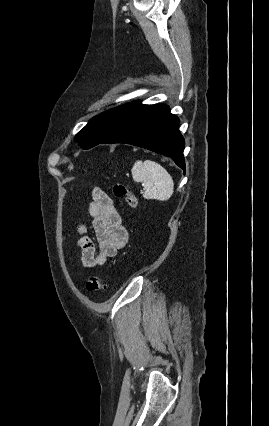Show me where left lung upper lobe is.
Instances as JSON below:
<instances>
[{"mask_svg":"<svg viewBox=\"0 0 269 426\" xmlns=\"http://www.w3.org/2000/svg\"><path fill=\"white\" fill-rule=\"evenodd\" d=\"M125 106L126 104L118 106L92 118L78 132L75 140L82 145L83 149H89L98 145L111 131Z\"/></svg>","mask_w":269,"mask_h":426,"instance_id":"left-lung-upper-lobe-1","label":"left lung upper lobe"}]
</instances>
